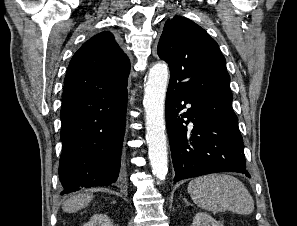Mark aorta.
Returning a JSON list of instances; mask_svg holds the SVG:
<instances>
[{
    "label": "aorta",
    "mask_w": 297,
    "mask_h": 226,
    "mask_svg": "<svg viewBox=\"0 0 297 226\" xmlns=\"http://www.w3.org/2000/svg\"><path fill=\"white\" fill-rule=\"evenodd\" d=\"M168 68L156 63L148 74L143 105L145 108L146 141L152 173L164 180L168 172L167 142L165 135L164 104L168 82Z\"/></svg>",
    "instance_id": "762f6f07"
}]
</instances>
